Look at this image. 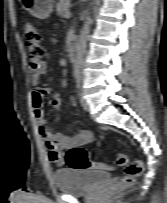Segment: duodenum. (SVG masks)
<instances>
[{
	"instance_id": "obj_1",
	"label": "duodenum",
	"mask_w": 167,
	"mask_h": 203,
	"mask_svg": "<svg viewBox=\"0 0 167 203\" xmlns=\"http://www.w3.org/2000/svg\"><path fill=\"white\" fill-rule=\"evenodd\" d=\"M76 51H77V48H76V45L75 44H72L69 49H68V60L73 62L75 61V58H76Z\"/></svg>"
}]
</instances>
